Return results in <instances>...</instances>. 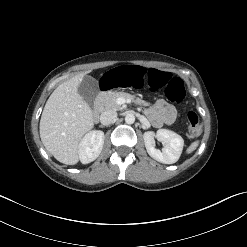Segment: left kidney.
<instances>
[{"mask_svg": "<svg viewBox=\"0 0 247 247\" xmlns=\"http://www.w3.org/2000/svg\"><path fill=\"white\" fill-rule=\"evenodd\" d=\"M154 137L162 142V151L155 148ZM143 138L146 150L153 159L164 164H173L178 161L183 150L184 140L177 133L167 129H159L156 133L145 132Z\"/></svg>", "mask_w": 247, "mask_h": 247, "instance_id": "left-kidney-1", "label": "left kidney"}]
</instances>
